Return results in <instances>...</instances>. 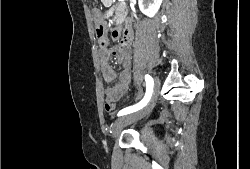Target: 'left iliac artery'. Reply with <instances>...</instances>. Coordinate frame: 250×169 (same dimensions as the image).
<instances>
[{"instance_id": "44dca946", "label": "left iliac artery", "mask_w": 250, "mask_h": 169, "mask_svg": "<svg viewBox=\"0 0 250 169\" xmlns=\"http://www.w3.org/2000/svg\"><path fill=\"white\" fill-rule=\"evenodd\" d=\"M145 81H146V93L144 98L137 104L133 105V106H129L126 107L124 109H122L121 111H119L118 116H122V115H126V114H130L133 112H136L140 109H142L150 100L152 93H153V79L150 75H145Z\"/></svg>"}]
</instances>
